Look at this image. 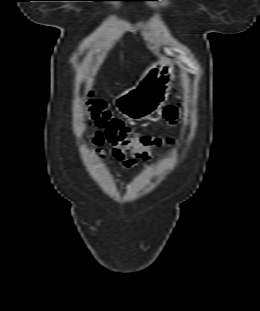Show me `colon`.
Here are the masks:
<instances>
[{"instance_id":"obj_1","label":"colon","mask_w":260,"mask_h":311,"mask_svg":"<svg viewBox=\"0 0 260 311\" xmlns=\"http://www.w3.org/2000/svg\"><path fill=\"white\" fill-rule=\"evenodd\" d=\"M178 93V89H176ZM84 108L91 121L98 128L94 139L95 144L104 142L112 146V154L116 158L131 157L139 160H149L153 157V149L161 145V140L155 137L134 132L119 119L112 117L102 100L95 99L90 92L84 101ZM165 120L175 126L181 115L178 102L167 105L163 112Z\"/></svg>"}]
</instances>
